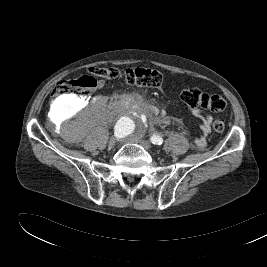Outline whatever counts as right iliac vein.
Returning a JSON list of instances; mask_svg holds the SVG:
<instances>
[{"instance_id": "1", "label": "right iliac vein", "mask_w": 267, "mask_h": 267, "mask_svg": "<svg viewBox=\"0 0 267 267\" xmlns=\"http://www.w3.org/2000/svg\"><path fill=\"white\" fill-rule=\"evenodd\" d=\"M116 142H117V139H116L115 137H112V138L109 140L108 146H109L110 148H112V147L115 146Z\"/></svg>"}]
</instances>
